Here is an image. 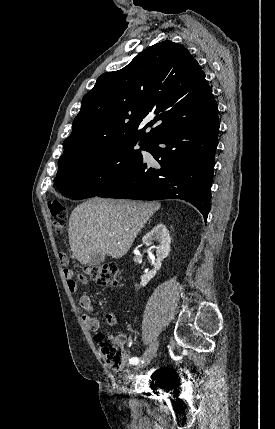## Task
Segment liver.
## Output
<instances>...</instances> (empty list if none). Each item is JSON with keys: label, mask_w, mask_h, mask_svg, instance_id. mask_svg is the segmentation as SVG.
<instances>
[{"label": "liver", "mask_w": 275, "mask_h": 429, "mask_svg": "<svg viewBox=\"0 0 275 429\" xmlns=\"http://www.w3.org/2000/svg\"><path fill=\"white\" fill-rule=\"evenodd\" d=\"M160 208L157 202L94 197L79 204L69 218V243L75 258L89 263L100 253L123 257L148 219Z\"/></svg>", "instance_id": "1"}]
</instances>
